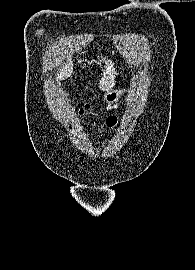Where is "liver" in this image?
Returning a JSON list of instances; mask_svg holds the SVG:
<instances>
[{"mask_svg":"<svg viewBox=\"0 0 195 270\" xmlns=\"http://www.w3.org/2000/svg\"><path fill=\"white\" fill-rule=\"evenodd\" d=\"M103 62H105L106 66L105 69L102 71V78L100 80V85L99 88L101 91H109L115 86V78L117 72L115 71L114 68V63L111 60H106V58H103ZM90 63V62H88ZM86 65L83 66L85 68ZM73 72V64L69 60L67 64H65L62 68V70L57 74V79L58 80H64L65 78H68L71 76Z\"/></svg>","mask_w":195,"mask_h":270,"instance_id":"liver-1","label":"liver"}]
</instances>
